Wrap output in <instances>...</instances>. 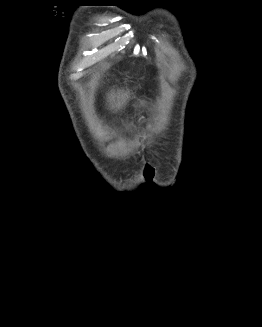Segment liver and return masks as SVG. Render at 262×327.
I'll return each instance as SVG.
<instances>
[{"mask_svg":"<svg viewBox=\"0 0 262 327\" xmlns=\"http://www.w3.org/2000/svg\"><path fill=\"white\" fill-rule=\"evenodd\" d=\"M126 96H127L126 94H122V95H119L117 98L121 99V100H124ZM112 98H114V97H112ZM120 105H121V102L118 101V106H120Z\"/></svg>","mask_w":262,"mask_h":327,"instance_id":"1","label":"liver"}]
</instances>
